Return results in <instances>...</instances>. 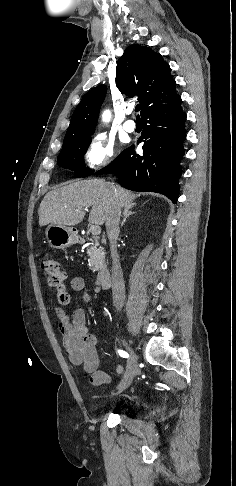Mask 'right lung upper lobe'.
Returning a JSON list of instances; mask_svg holds the SVG:
<instances>
[{
	"instance_id": "cb5924a9",
	"label": "right lung upper lobe",
	"mask_w": 236,
	"mask_h": 486,
	"mask_svg": "<svg viewBox=\"0 0 236 486\" xmlns=\"http://www.w3.org/2000/svg\"><path fill=\"white\" fill-rule=\"evenodd\" d=\"M116 86L129 97L139 96L141 113L176 93V82L170 75L169 65L159 53L139 45L129 46L117 62ZM106 90V86L101 85L83 96L72 115L63 145L94 131Z\"/></svg>"
}]
</instances>
